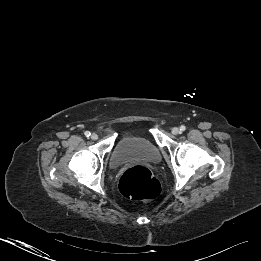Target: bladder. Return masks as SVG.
Instances as JSON below:
<instances>
[{"label": "bladder", "instance_id": "1", "mask_svg": "<svg viewBox=\"0 0 261 261\" xmlns=\"http://www.w3.org/2000/svg\"><path fill=\"white\" fill-rule=\"evenodd\" d=\"M160 159V151L152 141L142 137L125 136L115 144L110 165L117 168L131 162L156 164Z\"/></svg>", "mask_w": 261, "mask_h": 261}]
</instances>
